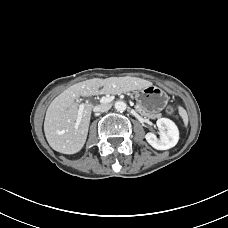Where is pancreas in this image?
<instances>
[{
	"mask_svg": "<svg viewBox=\"0 0 228 228\" xmlns=\"http://www.w3.org/2000/svg\"><path fill=\"white\" fill-rule=\"evenodd\" d=\"M146 116L151 117V118H156V117H161L162 114L158 113V114H154V113H144Z\"/></svg>",
	"mask_w": 228,
	"mask_h": 228,
	"instance_id": "obj_1",
	"label": "pancreas"
}]
</instances>
